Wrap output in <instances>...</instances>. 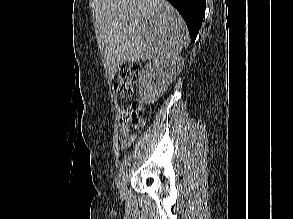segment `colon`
<instances>
[{
    "instance_id": "5ec220e1",
    "label": "colon",
    "mask_w": 293,
    "mask_h": 219,
    "mask_svg": "<svg viewBox=\"0 0 293 219\" xmlns=\"http://www.w3.org/2000/svg\"><path fill=\"white\" fill-rule=\"evenodd\" d=\"M139 80V69L135 64L123 66L116 77L114 83L115 93L122 99H130L135 91ZM141 102L133 100L126 104L120 114V124L130 130H139L143 125V120L139 116Z\"/></svg>"
}]
</instances>
